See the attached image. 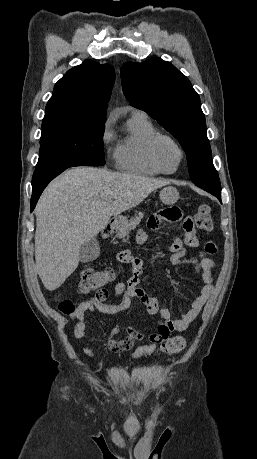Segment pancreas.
Here are the masks:
<instances>
[{"instance_id":"1","label":"pancreas","mask_w":257,"mask_h":459,"mask_svg":"<svg viewBox=\"0 0 257 459\" xmlns=\"http://www.w3.org/2000/svg\"><path fill=\"white\" fill-rule=\"evenodd\" d=\"M143 216L144 214L142 212H139L138 215H136L134 218H131L129 222H127L126 226L120 231L119 235L121 237L127 236L131 230H134L136 228Z\"/></svg>"}]
</instances>
